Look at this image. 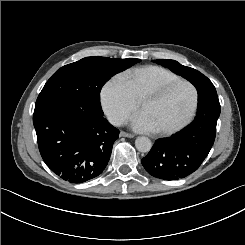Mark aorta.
<instances>
[{
    "mask_svg": "<svg viewBox=\"0 0 245 245\" xmlns=\"http://www.w3.org/2000/svg\"><path fill=\"white\" fill-rule=\"evenodd\" d=\"M135 147L139 152L146 153L151 150L152 142L148 137H137L135 140Z\"/></svg>",
    "mask_w": 245,
    "mask_h": 245,
    "instance_id": "762f6f07",
    "label": "aorta"
}]
</instances>
